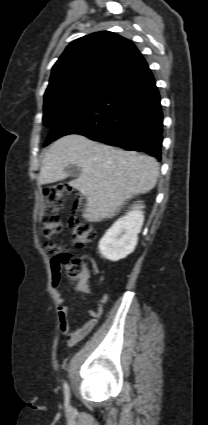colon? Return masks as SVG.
I'll return each instance as SVG.
<instances>
[{
  "label": "colon",
  "instance_id": "obj_1",
  "mask_svg": "<svg viewBox=\"0 0 208 425\" xmlns=\"http://www.w3.org/2000/svg\"><path fill=\"white\" fill-rule=\"evenodd\" d=\"M69 192L70 188L64 184H56L44 190L45 208L41 217V224L47 238L44 248L52 256V269L59 272L64 267L70 279L80 281L85 277L83 261L79 257L67 253L62 245L51 240L53 236L62 231L59 209L63 198ZM70 232L73 243L79 247L92 242L96 238L94 226L75 215L70 219Z\"/></svg>",
  "mask_w": 208,
  "mask_h": 425
}]
</instances>
